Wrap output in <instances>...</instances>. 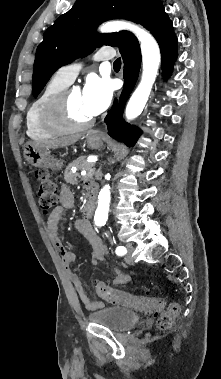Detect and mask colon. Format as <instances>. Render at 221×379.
<instances>
[{
    "label": "colon",
    "mask_w": 221,
    "mask_h": 379,
    "mask_svg": "<svg viewBox=\"0 0 221 379\" xmlns=\"http://www.w3.org/2000/svg\"><path fill=\"white\" fill-rule=\"evenodd\" d=\"M38 180V200L41 210L47 214L57 205L59 197L57 186L50 174L44 170L36 171ZM98 295L105 301L121 304L138 311L158 314L157 327L160 330H168L172 327L176 316L179 313V306L176 303L170 304L165 310V302L160 297H154L148 293L132 295L123 291L114 290L108 285L99 282L96 285Z\"/></svg>",
    "instance_id": "obj_1"
}]
</instances>
